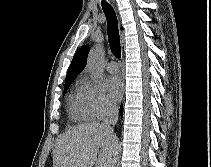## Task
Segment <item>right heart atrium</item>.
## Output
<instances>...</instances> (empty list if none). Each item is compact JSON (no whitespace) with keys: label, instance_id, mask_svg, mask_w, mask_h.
Masks as SVG:
<instances>
[{"label":"right heart atrium","instance_id":"right-heart-atrium-1","mask_svg":"<svg viewBox=\"0 0 211 167\" xmlns=\"http://www.w3.org/2000/svg\"><path fill=\"white\" fill-rule=\"evenodd\" d=\"M81 90L86 110L91 119H103L115 111L114 105L107 99L98 84L84 80Z\"/></svg>","mask_w":211,"mask_h":167}]
</instances>
